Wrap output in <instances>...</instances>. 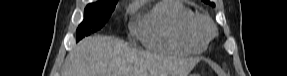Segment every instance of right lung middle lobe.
Masks as SVG:
<instances>
[{"instance_id": "obj_1", "label": "right lung middle lobe", "mask_w": 287, "mask_h": 76, "mask_svg": "<svg viewBox=\"0 0 287 76\" xmlns=\"http://www.w3.org/2000/svg\"><path fill=\"white\" fill-rule=\"evenodd\" d=\"M117 2H96L84 10V20L77 28V41L101 29L110 18Z\"/></svg>"}]
</instances>
